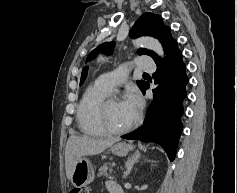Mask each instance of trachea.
<instances>
[{"label":"trachea","mask_w":237,"mask_h":193,"mask_svg":"<svg viewBox=\"0 0 237 193\" xmlns=\"http://www.w3.org/2000/svg\"><path fill=\"white\" fill-rule=\"evenodd\" d=\"M143 75H148L147 73H143Z\"/></svg>","instance_id":"trachea-1"}]
</instances>
